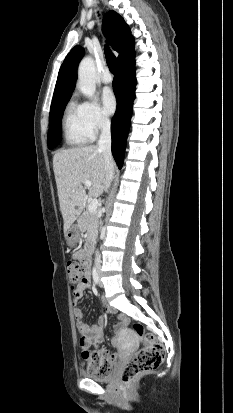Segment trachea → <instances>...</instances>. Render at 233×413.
I'll return each mask as SVG.
<instances>
[{"instance_id":"3493384b","label":"trachea","mask_w":233,"mask_h":413,"mask_svg":"<svg viewBox=\"0 0 233 413\" xmlns=\"http://www.w3.org/2000/svg\"><path fill=\"white\" fill-rule=\"evenodd\" d=\"M105 57L109 70L115 73L116 58L108 47H105Z\"/></svg>"}]
</instances>
